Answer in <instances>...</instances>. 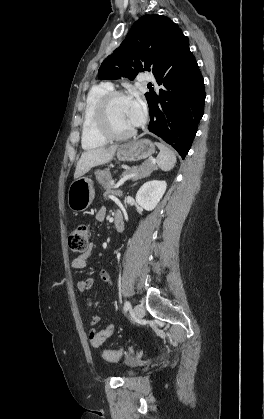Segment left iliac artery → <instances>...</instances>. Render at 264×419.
<instances>
[{
  "label": "left iliac artery",
  "instance_id": "left-iliac-artery-1",
  "mask_svg": "<svg viewBox=\"0 0 264 419\" xmlns=\"http://www.w3.org/2000/svg\"><path fill=\"white\" fill-rule=\"evenodd\" d=\"M131 308V304L129 301H125L124 303V311H128Z\"/></svg>",
  "mask_w": 264,
  "mask_h": 419
}]
</instances>
